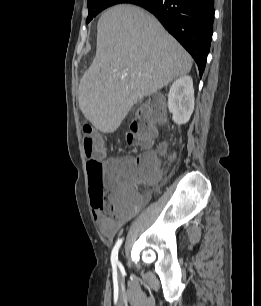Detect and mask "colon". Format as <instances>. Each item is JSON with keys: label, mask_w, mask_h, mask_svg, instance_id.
<instances>
[{"label": "colon", "mask_w": 261, "mask_h": 306, "mask_svg": "<svg viewBox=\"0 0 261 306\" xmlns=\"http://www.w3.org/2000/svg\"><path fill=\"white\" fill-rule=\"evenodd\" d=\"M161 119V98L155 95L138 106L126 134L128 143L149 148L156 135V124ZM82 135L92 197L99 202L95 205L96 208L111 212L115 204L122 203L131 196V183L154 182L159 178V171L150 155L134 158L131 162L104 164L100 159L104 148L95 140L93 129L90 126L84 127Z\"/></svg>", "instance_id": "colon-1"}]
</instances>
